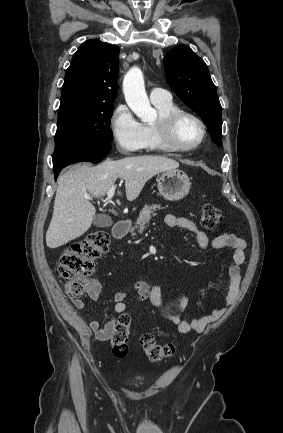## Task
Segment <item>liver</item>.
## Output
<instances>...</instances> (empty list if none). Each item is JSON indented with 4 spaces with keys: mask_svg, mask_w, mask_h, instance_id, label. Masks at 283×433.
I'll list each match as a JSON object with an SVG mask.
<instances>
[{
    "mask_svg": "<svg viewBox=\"0 0 283 433\" xmlns=\"http://www.w3.org/2000/svg\"><path fill=\"white\" fill-rule=\"evenodd\" d=\"M179 162L167 156H126L120 160H104L97 166L82 164L58 178L51 223L46 245L57 249L84 235L92 225L95 206L85 196H105L117 178L125 180L127 200L139 196L145 182L164 170H176ZM118 194H121L118 190Z\"/></svg>",
    "mask_w": 283,
    "mask_h": 433,
    "instance_id": "liver-1",
    "label": "liver"
}]
</instances>
